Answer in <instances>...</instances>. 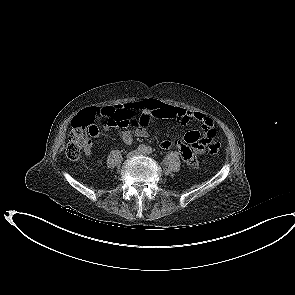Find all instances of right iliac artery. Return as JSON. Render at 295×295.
<instances>
[{
  "mask_svg": "<svg viewBox=\"0 0 295 295\" xmlns=\"http://www.w3.org/2000/svg\"><path fill=\"white\" fill-rule=\"evenodd\" d=\"M138 150L139 151H145L146 150V147H145V145H139V147H138Z\"/></svg>",
  "mask_w": 295,
  "mask_h": 295,
  "instance_id": "1",
  "label": "right iliac artery"
}]
</instances>
